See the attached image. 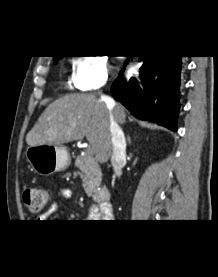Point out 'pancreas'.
Here are the masks:
<instances>
[{
    "instance_id": "cf45deb5",
    "label": "pancreas",
    "mask_w": 218,
    "mask_h": 277,
    "mask_svg": "<svg viewBox=\"0 0 218 277\" xmlns=\"http://www.w3.org/2000/svg\"><path fill=\"white\" fill-rule=\"evenodd\" d=\"M75 167L80 169L82 185L87 195H92L101 185V170L92 155L85 153L75 160Z\"/></svg>"
}]
</instances>
